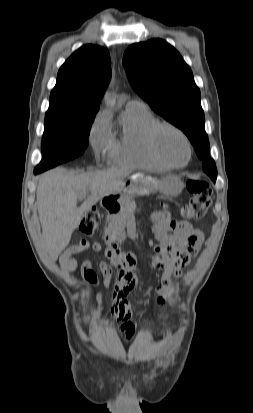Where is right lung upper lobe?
Segmentation results:
<instances>
[{"mask_svg":"<svg viewBox=\"0 0 253 413\" xmlns=\"http://www.w3.org/2000/svg\"><path fill=\"white\" fill-rule=\"evenodd\" d=\"M110 78L108 50L82 46L60 67L46 116L96 115Z\"/></svg>","mask_w":253,"mask_h":413,"instance_id":"right-lung-upper-lobe-1","label":"right lung upper lobe"}]
</instances>
